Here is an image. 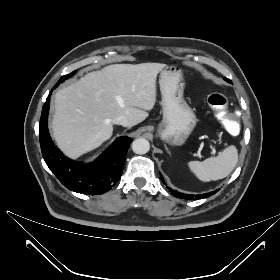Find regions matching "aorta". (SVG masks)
<instances>
[{
    "label": "aorta",
    "instance_id": "obj_1",
    "mask_svg": "<svg viewBox=\"0 0 280 280\" xmlns=\"http://www.w3.org/2000/svg\"><path fill=\"white\" fill-rule=\"evenodd\" d=\"M150 149V143L145 138H138L132 142V150L136 154H146Z\"/></svg>",
    "mask_w": 280,
    "mask_h": 280
}]
</instances>
